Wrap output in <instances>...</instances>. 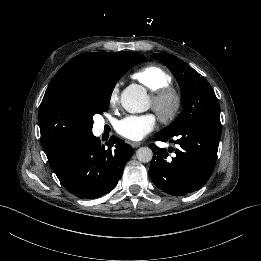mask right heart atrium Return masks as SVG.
Wrapping results in <instances>:
<instances>
[{
	"mask_svg": "<svg viewBox=\"0 0 261 261\" xmlns=\"http://www.w3.org/2000/svg\"><path fill=\"white\" fill-rule=\"evenodd\" d=\"M119 100V94H118V88L115 86L109 95V105L112 107L116 103H118Z\"/></svg>",
	"mask_w": 261,
	"mask_h": 261,
	"instance_id": "1",
	"label": "right heart atrium"
}]
</instances>
